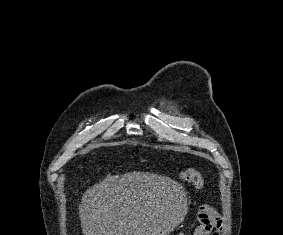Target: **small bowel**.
Segmentation results:
<instances>
[{
  "mask_svg": "<svg viewBox=\"0 0 283 235\" xmlns=\"http://www.w3.org/2000/svg\"><path fill=\"white\" fill-rule=\"evenodd\" d=\"M220 226L221 219L218 213L211 205L205 204L198 211V226L193 235H219L217 231Z\"/></svg>",
  "mask_w": 283,
  "mask_h": 235,
  "instance_id": "small-bowel-1",
  "label": "small bowel"
}]
</instances>
